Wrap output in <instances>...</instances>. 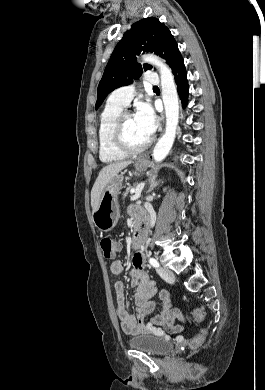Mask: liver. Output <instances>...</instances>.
Wrapping results in <instances>:
<instances>
[{
	"label": "liver",
	"mask_w": 265,
	"mask_h": 390,
	"mask_svg": "<svg viewBox=\"0 0 265 390\" xmlns=\"http://www.w3.org/2000/svg\"><path fill=\"white\" fill-rule=\"evenodd\" d=\"M132 161H123L111 163L102 168L91 190V207L96 211L103 193L104 188L109 182L118 175V173L130 165Z\"/></svg>",
	"instance_id": "1"
}]
</instances>
